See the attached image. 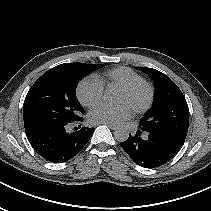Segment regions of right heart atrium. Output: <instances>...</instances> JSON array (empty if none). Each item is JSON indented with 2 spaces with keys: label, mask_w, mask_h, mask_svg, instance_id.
Returning <instances> with one entry per match:
<instances>
[{
  "label": "right heart atrium",
  "mask_w": 211,
  "mask_h": 211,
  "mask_svg": "<svg viewBox=\"0 0 211 211\" xmlns=\"http://www.w3.org/2000/svg\"><path fill=\"white\" fill-rule=\"evenodd\" d=\"M104 85L96 76H90L83 79L77 87L76 94L86 107L97 105L103 97Z\"/></svg>",
  "instance_id": "d8ad5b80"
}]
</instances>
